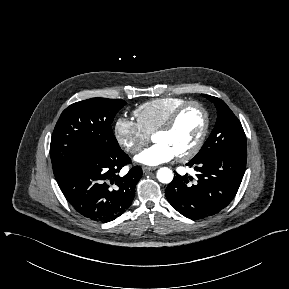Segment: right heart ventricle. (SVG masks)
I'll return each mask as SVG.
<instances>
[{
    "label": "right heart ventricle",
    "mask_w": 289,
    "mask_h": 289,
    "mask_svg": "<svg viewBox=\"0 0 289 289\" xmlns=\"http://www.w3.org/2000/svg\"><path fill=\"white\" fill-rule=\"evenodd\" d=\"M187 100L180 97H163L147 101L134 110L137 123L148 134H153L171 113Z\"/></svg>",
    "instance_id": "right-heart-ventricle-1"
}]
</instances>
